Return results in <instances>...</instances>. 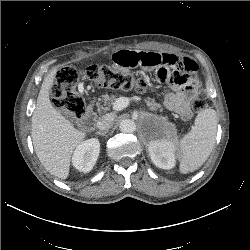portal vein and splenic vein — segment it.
Masks as SVG:
<instances>
[{
    "instance_id": "1",
    "label": "portal vein and splenic vein",
    "mask_w": 250,
    "mask_h": 250,
    "mask_svg": "<svg viewBox=\"0 0 250 250\" xmlns=\"http://www.w3.org/2000/svg\"><path fill=\"white\" fill-rule=\"evenodd\" d=\"M130 99L127 97H119L113 103V110L114 111H121L129 105Z\"/></svg>"
}]
</instances>
